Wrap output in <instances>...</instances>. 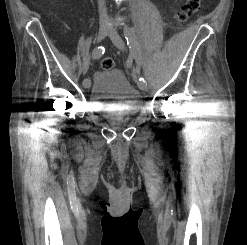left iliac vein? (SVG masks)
I'll return each mask as SVG.
<instances>
[{
  "label": "left iliac vein",
  "mask_w": 247,
  "mask_h": 245,
  "mask_svg": "<svg viewBox=\"0 0 247 245\" xmlns=\"http://www.w3.org/2000/svg\"><path fill=\"white\" fill-rule=\"evenodd\" d=\"M109 37L112 40L113 44L120 49L121 51H124L125 49V44L124 41L122 40L121 36L118 34L117 30L115 28H111L109 30ZM138 45V43H137ZM138 86L141 90H147L148 85L147 84H141L138 83Z\"/></svg>",
  "instance_id": "obj_1"
}]
</instances>
